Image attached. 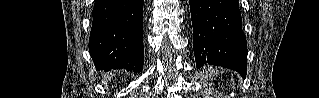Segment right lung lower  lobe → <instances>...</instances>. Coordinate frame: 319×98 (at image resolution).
Here are the masks:
<instances>
[{
	"label": "right lung lower lobe",
	"instance_id": "1",
	"mask_svg": "<svg viewBox=\"0 0 319 98\" xmlns=\"http://www.w3.org/2000/svg\"><path fill=\"white\" fill-rule=\"evenodd\" d=\"M143 1H95L89 52L97 70L143 69Z\"/></svg>",
	"mask_w": 319,
	"mask_h": 98
}]
</instances>
